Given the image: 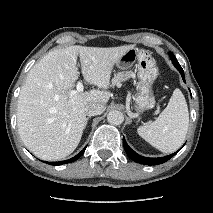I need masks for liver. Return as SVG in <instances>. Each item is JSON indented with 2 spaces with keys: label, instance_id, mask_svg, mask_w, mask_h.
Instances as JSON below:
<instances>
[{
  "label": "liver",
  "instance_id": "liver-1",
  "mask_svg": "<svg viewBox=\"0 0 213 213\" xmlns=\"http://www.w3.org/2000/svg\"><path fill=\"white\" fill-rule=\"evenodd\" d=\"M134 45L120 47L70 46L45 55L29 71L17 106V126L22 142L35 156L55 161L70 155L86 127L85 107L105 105L116 62ZM86 82L102 90L75 92L79 77L77 57Z\"/></svg>",
  "mask_w": 213,
  "mask_h": 213
}]
</instances>
